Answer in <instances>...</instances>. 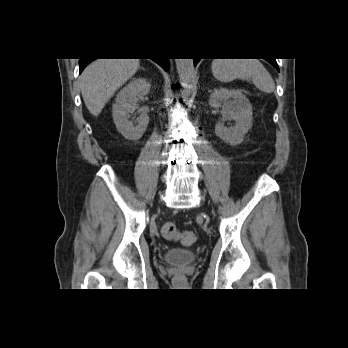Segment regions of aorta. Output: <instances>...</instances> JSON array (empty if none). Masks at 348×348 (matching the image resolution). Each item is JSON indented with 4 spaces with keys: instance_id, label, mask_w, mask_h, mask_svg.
<instances>
[{
    "instance_id": "762f6f07",
    "label": "aorta",
    "mask_w": 348,
    "mask_h": 348,
    "mask_svg": "<svg viewBox=\"0 0 348 348\" xmlns=\"http://www.w3.org/2000/svg\"><path fill=\"white\" fill-rule=\"evenodd\" d=\"M179 83L182 87V95L188 97L191 94L196 74L193 59H175Z\"/></svg>"
}]
</instances>
